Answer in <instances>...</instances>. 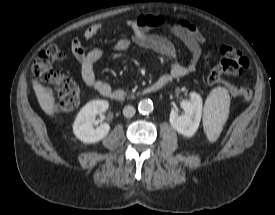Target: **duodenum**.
I'll use <instances>...</instances> for the list:
<instances>
[{"label":"duodenum","mask_w":275,"mask_h":215,"mask_svg":"<svg viewBox=\"0 0 275 215\" xmlns=\"http://www.w3.org/2000/svg\"><path fill=\"white\" fill-rule=\"evenodd\" d=\"M167 83H168V79L160 78L156 82L144 88L143 93L144 94L155 93L161 90L163 87H165ZM105 96L113 101L119 102V101L125 100L126 93L122 90H110Z\"/></svg>","instance_id":"duodenum-1"}]
</instances>
